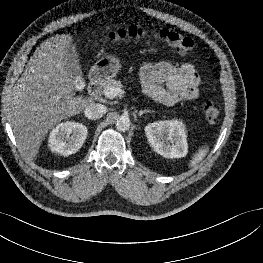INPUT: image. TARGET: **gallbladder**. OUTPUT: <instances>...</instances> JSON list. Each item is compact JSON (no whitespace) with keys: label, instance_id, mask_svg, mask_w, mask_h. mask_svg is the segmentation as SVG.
Here are the masks:
<instances>
[{"label":"gallbladder","instance_id":"gallbladder-1","mask_svg":"<svg viewBox=\"0 0 263 263\" xmlns=\"http://www.w3.org/2000/svg\"><path fill=\"white\" fill-rule=\"evenodd\" d=\"M64 66L73 80L82 78V70L79 63L77 51L73 48H68L64 55Z\"/></svg>","mask_w":263,"mask_h":263}]
</instances>
